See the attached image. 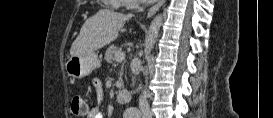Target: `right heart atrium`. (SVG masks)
Segmentation results:
<instances>
[{
	"label": "right heart atrium",
	"instance_id": "obj_1",
	"mask_svg": "<svg viewBox=\"0 0 273 118\" xmlns=\"http://www.w3.org/2000/svg\"><path fill=\"white\" fill-rule=\"evenodd\" d=\"M117 3L126 9H134L137 5V1L136 0H119L117 1Z\"/></svg>",
	"mask_w": 273,
	"mask_h": 118
}]
</instances>
